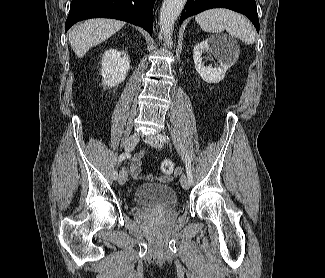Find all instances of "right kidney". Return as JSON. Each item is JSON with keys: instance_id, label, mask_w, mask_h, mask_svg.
<instances>
[{"instance_id": "ca27d5eb", "label": "right kidney", "mask_w": 325, "mask_h": 278, "mask_svg": "<svg viewBox=\"0 0 325 278\" xmlns=\"http://www.w3.org/2000/svg\"><path fill=\"white\" fill-rule=\"evenodd\" d=\"M130 69V60L125 52L116 49L107 50L102 56L101 76L104 86H118L125 80Z\"/></svg>"}]
</instances>
